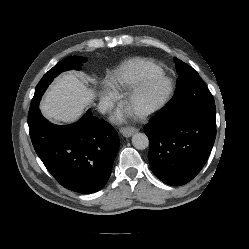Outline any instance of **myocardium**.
Segmentation results:
<instances>
[{
    "instance_id": "myocardium-1",
    "label": "myocardium",
    "mask_w": 249,
    "mask_h": 249,
    "mask_svg": "<svg viewBox=\"0 0 249 249\" xmlns=\"http://www.w3.org/2000/svg\"><path fill=\"white\" fill-rule=\"evenodd\" d=\"M158 84H165L166 89L162 96L158 98L157 100L145 104L140 105V100L142 97L154 86ZM174 92V84L173 81L165 76L157 75L151 78H148L138 85H136L130 93L126 97V105L130 107L133 112L139 116V117H147L150 116L158 111H160L162 108L166 106V104L170 101L172 95Z\"/></svg>"
}]
</instances>
